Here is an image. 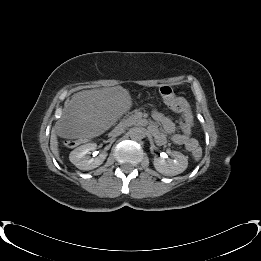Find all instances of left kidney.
<instances>
[{"mask_svg": "<svg viewBox=\"0 0 261 261\" xmlns=\"http://www.w3.org/2000/svg\"><path fill=\"white\" fill-rule=\"evenodd\" d=\"M173 159L165 160L166 153H161L160 157H155L153 164L155 169L165 175H174L186 169L188 161L186 157L177 151L171 153Z\"/></svg>", "mask_w": 261, "mask_h": 261, "instance_id": "1", "label": "left kidney"}]
</instances>
